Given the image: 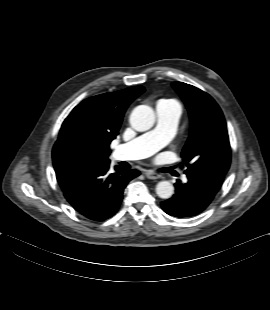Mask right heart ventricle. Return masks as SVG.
I'll return each instance as SVG.
<instances>
[{
    "instance_id": "1",
    "label": "right heart ventricle",
    "mask_w": 270,
    "mask_h": 310,
    "mask_svg": "<svg viewBox=\"0 0 270 310\" xmlns=\"http://www.w3.org/2000/svg\"><path fill=\"white\" fill-rule=\"evenodd\" d=\"M158 103H165V104H168V105H174V106H178L180 108L179 103L176 100H174V99H161V100L158 101Z\"/></svg>"
}]
</instances>
